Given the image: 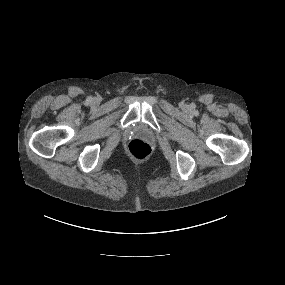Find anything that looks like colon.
I'll list each match as a JSON object with an SVG mask.
<instances>
[{
	"mask_svg": "<svg viewBox=\"0 0 285 285\" xmlns=\"http://www.w3.org/2000/svg\"><path fill=\"white\" fill-rule=\"evenodd\" d=\"M128 151L133 158L143 160L150 155L151 147L143 140L134 139L129 143Z\"/></svg>",
	"mask_w": 285,
	"mask_h": 285,
	"instance_id": "obj_1",
	"label": "colon"
}]
</instances>
